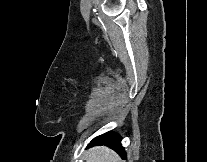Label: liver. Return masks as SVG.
Listing matches in <instances>:
<instances>
[{
  "instance_id": "liver-1",
  "label": "liver",
  "mask_w": 207,
  "mask_h": 162,
  "mask_svg": "<svg viewBox=\"0 0 207 162\" xmlns=\"http://www.w3.org/2000/svg\"><path fill=\"white\" fill-rule=\"evenodd\" d=\"M86 162H119L118 154L104 146L93 147L84 154Z\"/></svg>"
}]
</instances>
